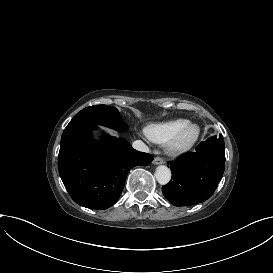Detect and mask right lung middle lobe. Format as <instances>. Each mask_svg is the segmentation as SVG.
I'll return each mask as SVG.
<instances>
[{
	"label": "right lung middle lobe",
	"mask_w": 273,
	"mask_h": 273,
	"mask_svg": "<svg viewBox=\"0 0 273 273\" xmlns=\"http://www.w3.org/2000/svg\"><path fill=\"white\" fill-rule=\"evenodd\" d=\"M83 122L107 126L121 132L128 130V126L122 120L119 111L115 107L106 105H95L84 108L74 116L69 124Z\"/></svg>",
	"instance_id": "dd1d6c3e"
}]
</instances>
